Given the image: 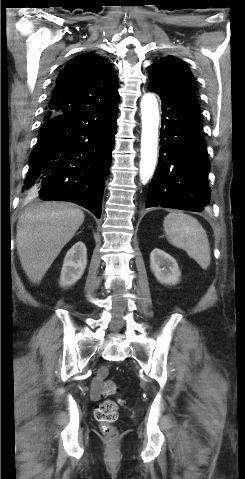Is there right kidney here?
Listing matches in <instances>:
<instances>
[{
  "label": "right kidney",
  "mask_w": 245,
  "mask_h": 479,
  "mask_svg": "<svg viewBox=\"0 0 245 479\" xmlns=\"http://www.w3.org/2000/svg\"><path fill=\"white\" fill-rule=\"evenodd\" d=\"M87 265V249L83 242L75 243L67 252L60 275V286L69 287L83 275Z\"/></svg>",
  "instance_id": "1"
}]
</instances>
